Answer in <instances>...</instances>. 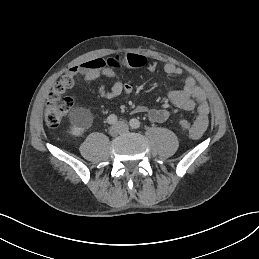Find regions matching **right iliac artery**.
<instances>
[{"mask_svg":"<svg viewBox=\"0 0 259 259\" xmlns=\"http://www.w3.org/2000/svg\"><path fill=\"white\" fill-rule=\"evenodd\" d=\"M108 124H115L117 122V116L114 114H111L107 118Z\"/></svg>","mask_w":259,"mask_h":259,"instance_id":"1","label":"right iliac artery"}]
</instances>
